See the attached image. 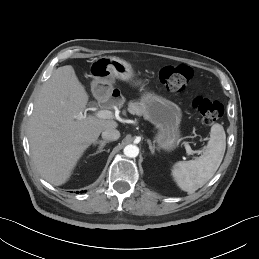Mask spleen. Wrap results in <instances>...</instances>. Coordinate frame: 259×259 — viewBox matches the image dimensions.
I'll use <instances>...</instances> for the list:
<instances>
[{
    "instance_id": "3e777b00",
    "label": "spleen",
    "mask_w": 259,
    "mask_h": 259,
    "mask_svg": "<svg viewBox=\"0 0 259 259\" xmlns=\"http://www.w3.org/2000/svg\"><path fill=\"white\" fill-rule=\"evenodd\" d=\"M226 149V134L222 125L215 123L210 130V139L203 154L190 161L173 165L172 176L179 188L194 193L205 185L219 168Z\"/></svg>"
}]
</instances>
